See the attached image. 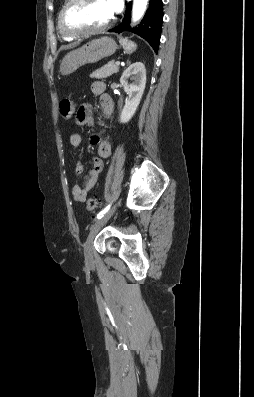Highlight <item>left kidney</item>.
Returning <instances> with one entry per match:
<instances>
[{
	"label": "left kidney",
	"mask_w": 254,
	"mask_h": 397,
	"mask_svg": "<svg viewBox=\"0 0 254 397\" xmlns=\"http://www.w3.org/2000/svg\"><path fill=\"white\" fill-rule=\"evenodd\" d=\"M128 79L133 81L128 83ZM120 83L127 94L120 121L127 123L135 114L146 85V69L142 62L131 64L122 74Z\"/></svg>",
	"instance_id": "1"
}]
</instances>
